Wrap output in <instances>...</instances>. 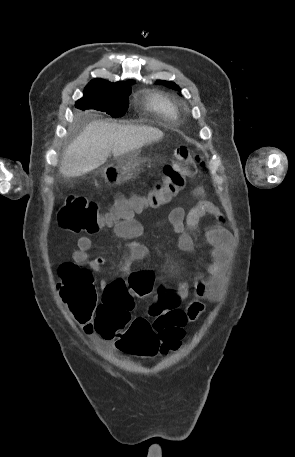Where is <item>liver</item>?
<instances>
[{"label": "liver", "mask_w": 295, "mask_h": 457, "mask_svg": "<svg viewBox=\"0 0 295 457\" xmlns=\"http://www.w3.org/2000/svg\"><path fill=\"white\" fill-rule=\"evenodd\" d=\"M162 137L163 132L151 126L91 122L65 150L60 172L66 177L84 175L103 165L110 152L118 158Z\"/></svg>", "instance_id": "liver-1"}]
</instances>
